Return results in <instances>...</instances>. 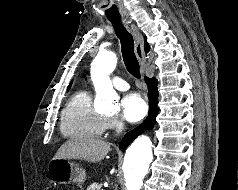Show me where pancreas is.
<instances>
[{
	"mask_svg": "<svg viewBox=\"0 0 238 190\" xmlns=\"http://www.w3.org/2000/svg\"><path fill=\"white\" fill-rule=\"evenodd\" d=\"M101 187H102L101 183L94 182L87 187V190H103L101 189Z\"/></svg>",
	"mask_w": 238,
	"mask_h": 190,
	"instance_id": "cf45deb5",
	"label": "pancreas"
}]
</instances>
